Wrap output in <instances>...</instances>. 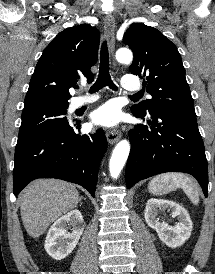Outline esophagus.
Instances as JSON below:
<instances>
[{"label": "esophagus", "mask_w": 215, "mask_h": 274, "mask_svg": "<svg viewBox=\"0 0 215 274\" xmlns=\"http://www.w3.org/2000/svg\"><path fill=\"white\" fill-rule=\"evenodd\" d=\"M104 28L106 32V36L108 39V44L110 51L113 53L114 51V28H115V19L113 15L108 14L104 19ZM107 140L110 144H113L120 140L121 133L118 130H109L106 133Z\"/></svg>", "instance_id": "obj_1"}]
</instances>
